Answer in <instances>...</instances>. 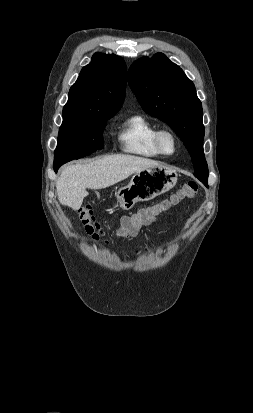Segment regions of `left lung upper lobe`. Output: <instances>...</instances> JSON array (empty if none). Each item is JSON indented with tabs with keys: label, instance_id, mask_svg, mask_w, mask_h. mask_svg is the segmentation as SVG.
I'll return each mask as SVG.
<instances>
[{
	"label": "left lung upper lobe",
	"instance_id": "5c2ea615",
	"mask_svg": "<svg viewBox=\"0 0 253 413\" xmlns=\"http://www.w3.org/2000/svg\"><path fill=\"white\" fill-rule=\"evenodd\" d=\"M128 81L144 111L166 122L180 137L191 155L194 176L207 184L203 111L193 82L162 53L134 62Z\"/></svg>",
	"mask_w": 253,
	"mask_h": 413
}]
</instances>
